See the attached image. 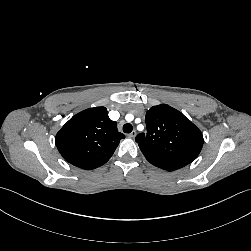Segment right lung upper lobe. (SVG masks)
<instances>
[{"label": "right lung upper lobe", "instance_id": "right-lung-upper-lobe-1", "mask_svg": "<svg viewBox=\"0 0 251 251\" xmlns=\"http://www.w3.org/2000/svg\"><path fill=\"white\" fill-rule=\"evenodd\" d=\"M124 134L108 117L105 107L86 109L73 116L57 133L56 146L74 166L91 170L105 164Z\"/></svg>", "mask_w": 251, "mask_h": 251}]
</instances>
